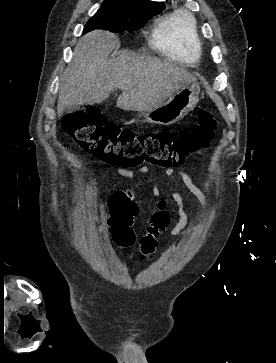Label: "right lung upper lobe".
<instances>
[{
    "mask_svg": "<svg viewBox=\"0 0 276 363\" xmlns=\"http://www.w3.org/2000/svg\"><path fill=\"white\" fill-rule=\"evenodd\" d=\"M105 4L119 5V6H130V5H146L152 7H164V3L150 2L142 0H106Z\"/></svg>",
    "mask_w": 276,
    "mask_h": 363,
    "instance_id": "1",
    "label": "right lung upper lobe"
}]
</instances>
